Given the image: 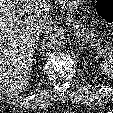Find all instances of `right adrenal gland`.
Returning <instances> with one entry per match:
<instances>
[{"instance_id": "obj_1", "label": "right adrenal gland", "mask_w": 113, "mask_h": 113, "mask_svg": "<svg viewBox=\"0 0 113 113\" xmlns=\"http://www.w3.org/2000/svg\"><path fill=\"white\" fill-rule=\"evenodd\" d=\"M38 42H39V38H38V37H36L35 50H37V49H38Z\"/></svg>"}]
</instances>
